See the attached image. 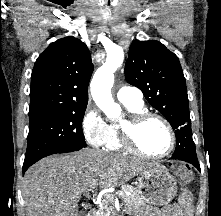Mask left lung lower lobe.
Instances as JSON below:
<instances>
[{"instance_id":"0a47b994","label":"left lung lower lobe","mask_w":221,"mask_h":216,"mask_svg":"<svg viewBox=\"0 0 221 216\" xmlns=\"http://www.w3.org/2000/svg\"><path fill=\"white\" fill-rule=\"evenodd\" d=\"M171 159H178L194 165L200 171V165L197 159L196 151L184 144H176V149Z\"/></svg>"}]
</instances>
